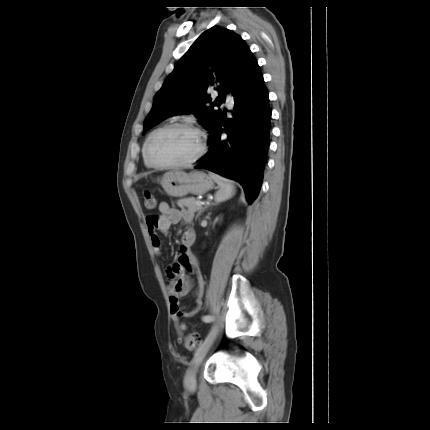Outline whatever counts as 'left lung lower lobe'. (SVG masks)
I'll return each instance as SVG.
<instances>
[{
	"label": "left lung lower lobe",
	"mask_w": 430,
	"mask_h": 430,
	"mask_svg": "<svg viewBox=\"0 0 430 430\" xmlns=\"http://www.w3.org/2000/svg\"><path fill=\"white\" fill-rule=\"evenodd\" d=\"M233 117L222 113L209 126V152L195 168L208 169L239 182L251 204L257 198L270 145L269 95L260 69L232 94Z\"/></svg>",
	"instance_id": "0a47b994"
}]
</instances>
